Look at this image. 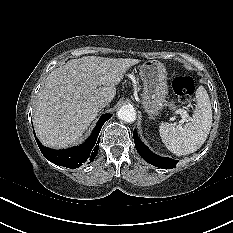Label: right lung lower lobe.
<instances>
[{
	"label": "right lung lower lobe",
	"mask_w": 233,
	"mask_h": 233,
	"mask_svg": "<svg viewBox=\"0 0 233 233\" xmlns=\"http://www.w3.org/2000/svg\"><path fill=\"white\" fill-rule=\"evenodd\" d=\"M111 117L109 114H104L98 121L92 134L85 143L78 147H73L66 150H53L44 147L39 140L36 138V142L39 146L40 151L46 159L54 164L61 165L67 168H78L85 162H92L96 157L99 149L100 137L99 132L103 124Z\"/></svg>",
	"instance_id": "right-lung-lower-lobe-1"
}]
</instances>
